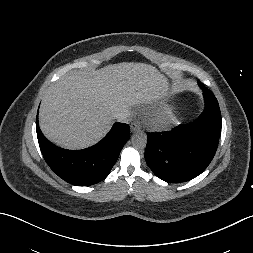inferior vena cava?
Instances as JSON below:
<instances>
[{"mask_svg": "<svg viewBox=\"0 0 253 253\" xmlns=\"http://www.w3.org/2000/svg\"><path fill=\"white\" fill-rule=\"evenodd\" d=\"M114 118L119 121V122H123V123H128L131 121V116H130V112L128 110H124L121 112H118L114 115Z\"/></svg>", "mask_w": 253, "mask_h": 253, "instance_id": "obj_1", "label": "inferior vena cava"}]
</instances>
